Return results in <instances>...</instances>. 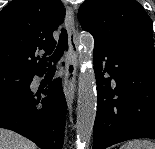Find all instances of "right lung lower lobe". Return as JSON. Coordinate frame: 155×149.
Wrapping results in <instances>:
<instances>
[{
  "mask_svg": "<svg viewBox=\"0 0 155 149\" xmlns=\"http://www.w3.org/2000/svg\"><path fill=\"white\" fill-rule=\"evenodd\" d=\"M43 94L46 97L42 99L31 90L22 95H0V128L25 136L41 149H62L67 104L61 79L53 80ZM38 103L42 108L36 107Z\"/></svg>",
  "mask_w": 155,
  "mask_h": 149,
  "instance_id": "obj_1",
  "label": "right lung lower lobe"
}]
</instances>
